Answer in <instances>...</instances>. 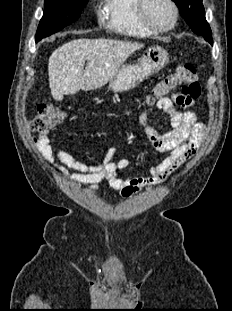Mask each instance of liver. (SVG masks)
Listing matches in <instances>:
<instances>
[{"label": "liver", "instance_id": "6515ba94", "mask_svg": "<svg viewBox=\"0 0 232 311\" xmlns=\"http://www.w3.org/2000/svg\"><path fill=\"white\" fill-rule=\"evenodd\" d=\"M143 44L112 39H76L63 44L48 62L52 97L61 101L73 95L101 88L118 72L126 59ZM85 61H87L84 69Z\"/></svg>", "mask_w": 232, "mask_h": 311}]
</instances>
